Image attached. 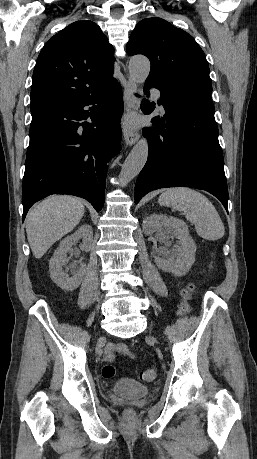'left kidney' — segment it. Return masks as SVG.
<instances>
[{
    "label": "left kidney",
    "mask_w": 257,
    "mask_h": 459,
    "mask_svg": "<svg viewBox=\"0 0 257 459\" xmlns=\"http://www.w3.org/2000/svg\"><path fill=\"white\" fill-rule=\"evenodd\" d=\"M143 231L147 235L156 233L159 242H166L170 237L179 239V244L156 248V264L162 270L175 276L185 275L195 262L196 244L189 234L186 223L176 217L164 214H152L143 221Z\"/></svg>",
    "instance_id": "1"
}]
</instances>
